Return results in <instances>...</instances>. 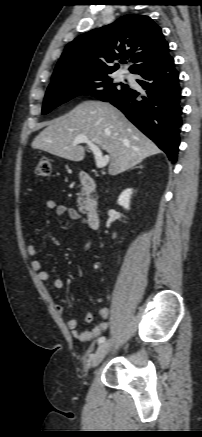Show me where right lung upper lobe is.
I'll use <instances>...</instances> for the list:
<instances>
[{
	"mask_svg": "<svg viewBox=\"0 0 202 437\" xmlns=\"http://www.w3.org/2000/svg\"><path fill=\"white\" fill-rule=\"evenodd\" d=\"M169 55L161 28L148 16L125 15L114 23L91 30L70 42L59 59L52 82L82 76L111 74L119 66L110 63L131 58L129 70L155 66Z\"/></svg>",
	"mask_w": 202,
	"mask_h": 437,
	"instance_id": "1",
	"label": "right lung upper lobe"
}]
</instances>
